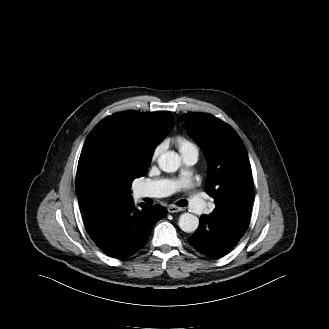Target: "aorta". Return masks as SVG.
<instances>
[{
	"label": "aorta",
	"mask_w": 329,
	"mask_h": 329,
	"mask_svg": "<svg viewBox=\"0 0 329 329\" xmlns=\"http://www.w3.org/2000/svg\"><path fill=\"white\" fill-rule=\"evenodd\" d=\"M158 165L164 172H175L181 165V158L176 152L168 151L159 156ZM178 225L182 231L192 233L198 228L199 219L191 213H183L179 217Z\"/></svg>",
	"instance_id": "aorta-1"
}]
</instances>
